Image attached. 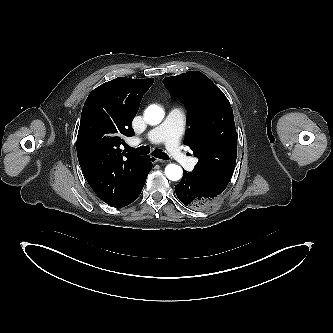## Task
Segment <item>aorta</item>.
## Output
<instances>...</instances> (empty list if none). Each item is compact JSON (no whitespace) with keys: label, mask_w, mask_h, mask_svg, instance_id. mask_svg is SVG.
Masks as SVG:
<instances>
[{"label":"aorta","mask_w":333,"mask_h":333,"mask_svg":"<svg viewBox=\"0 0 333 333\" xmlns=\"http://www.w3.org/2000/svg\"><path fill=\"white\" fill-rule=\"evenodd\" d=\"M164 118V111L157 105H150L145 110V119L150 125L159 124ZM183 170L179 165L169 164L165 168V175L169 180L178 181L181 179Z\"/></svg>","instance_id":"1"}]
</instances>
